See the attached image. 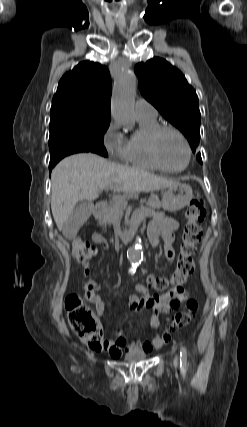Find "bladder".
Masks as SVG:
<instances>
[{"mask_svg":"<svg viewBox=\"0 0 247 427\" xmlns=\"http://www.w3.org/2000/svg\"><path fill=\"white\" fill-rule=\"evenodd\" d=\"M146 358V352L141 350H132L125 354L124 359L128 362H138Z\"/></svg>","mask_w":247,"mask_h":427,"instance_id":"1","label":"bladder"}]
</instances>
